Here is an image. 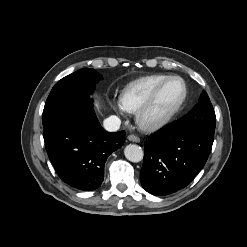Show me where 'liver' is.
I'll return each mask as SVG.
<instances>
[{
    "instance_id": "6515ba94",
    "label": "liver",
    "mask_w": 247,
    "mask_h": 247,
    "mask_svg": "<svg viewBox=\"0 0 247 247\" xmlns=\"http://www.w3.org/2000/svg\"><path fill=\"white\" fill-rule=\"evenodd\" d=\"M96 107H97V109H99V108H100V105H99V103H97V104H96Z\"/></svg>"
}]
</instances>
